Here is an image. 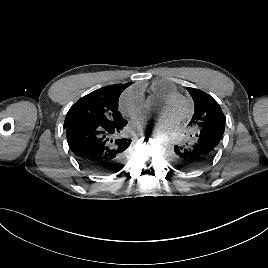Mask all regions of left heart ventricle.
Instances as JSON below:
<instances>
[{
    "label": "left heart ventricle",
    "instance_id": "1",
    "mask_svg": "<svg viewBox=\"0 0 268 268\" xmlns=\"http://www.w3.org/2000/svg\"><path fill=\"white\" fill-rule=\"evenodd\" d=\"M157 111L162 113H171L178 118L182 111V105L180 103H168L161 100L157 106Z\"/></svg>",
    "mask_w": 268,
    "mask_h": 268
}]
</instances>
